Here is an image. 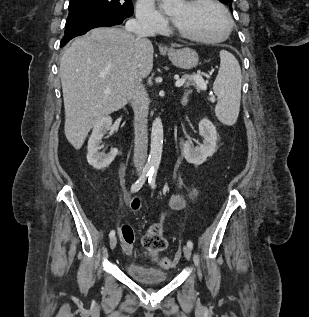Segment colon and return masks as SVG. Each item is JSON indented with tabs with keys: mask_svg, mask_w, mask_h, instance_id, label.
Wrapping results in <instances>:
<instances>
[{
	"mask_svg": "<svg viewBox=\"0 0 309 317\" xmlns=\"http://www.w3.org/2000/svg\"><path fill=\"white\" fill-rule=\"evenodd\" d=\"M129 206L132 211H138L140 209V200L138 198H133ZM119 236L121 242L124 244L126 248H131L135 240V233L131 226L122 225L119 229ZM143 247L149 252L151 255H157L161 251H163L167 242L165 238L162 236L161 228L158 225L152 226L147 234L142 239ZM160 264L164 267H169L173 265L170 262L169 258H162L160 260Z\"/></svg>",
	"mask_w": 309,
	"mask_h": 317,
	"instance_id": "1",
	"label": "colon"
}]
</instances>
